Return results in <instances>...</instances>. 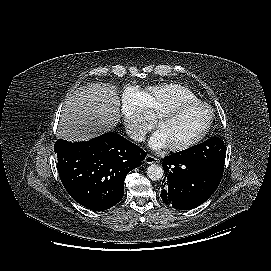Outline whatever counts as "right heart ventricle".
<instances>
[{
  "mask_svg": "<svg viewBox=\"0 0 271 271\" xmlns=\"http://www.w3.org/2000/svg\"><path fill=\"white\" fill-rule=\"evenodd\" d=\"M146 109L156 115L177 103L197 100L188 88L174 83H164L148 87L144 92Z\"/></svg>",
  "mask_w": 271,
  "mask_h": 271,
  "instance_id": "obj_1",
  "label": "right heart ventricle"
}]
</instances>
